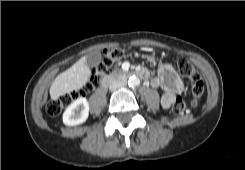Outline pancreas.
<instances>
[{"label": "pancreas", "mask_w": 245, "mask_h": 170, "mask_svg": "<svg viewBox=\"0 0 245 170\" xmlns=\"http://www.w3.org/2000/svg\"><path fill=\"white\" fill-rule=\"evenodd\" d=\"M119 73H123V72L122 71H119ZM116 74H117V72H114V73L111 74V76H114Z\"/></svg>", "instance_id": "cf45deb5"}]
</instances>
